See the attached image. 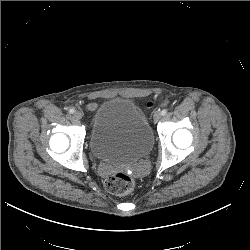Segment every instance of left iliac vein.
I'll use <instances>...</instances> for the list:
<instances>
[{"mask_svg":"<svg viewBox=\"0 0 250 250\" xmlns=\"http://www.w3.org/2000/svg\"><path fill=\"white\" fill-rule=\"evenodd\" d=\"M161 116H162V113H161L160 111H156V112L154 113V115H153V119H154L155 121H159L160 118H161Z\"/></svg>","mask_w":250,"mask_h":250,"instance_id":"4c4485c4","label":"left iliac vein"}]
</instances>
